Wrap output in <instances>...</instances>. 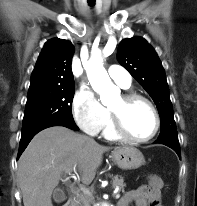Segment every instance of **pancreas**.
<instances>
[{"instance_id":"cf45deb5","label":"pancreas","mask_w":197,"mask_h":206,"mask_svg":"<svg viewBox=\"0 0 197 206\" xmlns=\"http://www.w3.org/2000/svg\"><path fill=\"white\" fill-rule=\"evenodd\" d=\"M112 181V186L113 188L119 187V189H124L126 184L124 183V179L121 176H114ZM92 202V195L89 193H84L79 196L77 199V206H91Z\"/></svg>"}]
</instances>
